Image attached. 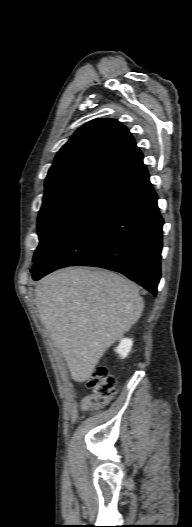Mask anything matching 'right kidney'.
<instances>
[{"label":"right kidney","instance_id":"right-kidney-1","mask_svg":"<svg viewBox=\"0 0 192 527\" xmlns=\"http://www.w3.org/2000/svg\"><path fill=\"white\" fill-rule=\"evenodd\" d=\"M132 345V339L124 338L120 341V344L115 351L121 356V358H125L131 350Z\"/></svg>","mask_w":192,"mask_h":527}]
</instances>
